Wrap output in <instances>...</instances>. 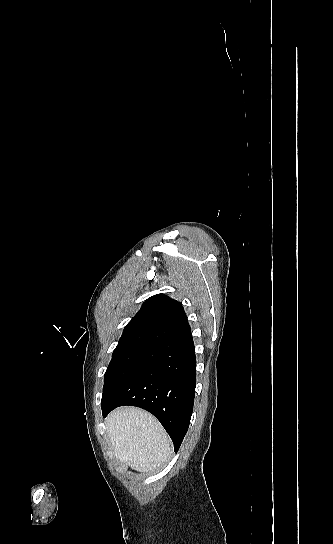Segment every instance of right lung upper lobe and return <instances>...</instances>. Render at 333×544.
I'll use <instances>...</instances> for the list:
<instances>
[{
  "label": "right lung upper lobe",
  "instance_id": "obj_1",
  "mask_svg": "<svg viewBox=\"0 0 333 544\" xmlns=\"http://www.w3.org/2000/svg\"><path fill=\"white\" fill-rule=\"evenodd\" d=\"M190 331L183 306L165 294L148 298L125 326L115 349L154 345Z\"/></svg>",
  "mask_w": 333,
  "mask_h": 544
}]
</instances>
